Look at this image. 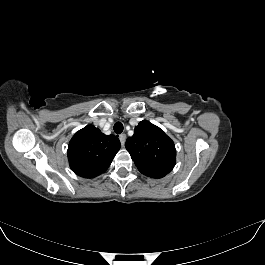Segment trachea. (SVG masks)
Returning a JSON list of instances; mask_svg holds the SVG:
<instances>
[{"label": "trachea", "instance_id": "obj_1", "mask_svg": "<svg viewBox=\"0 0 265 265\" xmlns=\"http://www.w3.org/2000/svg\"><path fill=\"white\" fill-rule=\"evenodd\" d=\"M123 129H124V127H123V124L121 122L115 123V125H114L115 133L120 134V133H122Z\"/></svg>", "mask_w": 265, "mask_h": 265}]
</instances>
